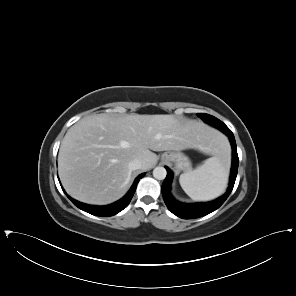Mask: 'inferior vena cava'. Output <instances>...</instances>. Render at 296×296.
Here are the masks:
<instances>
[{
  "label": "inferior vena cava",
  "mask_w": 296,
  "mask_h": 296,
  "mask_svg": "<svg viewBox=\"0 0 296 296\" xmlns=\"http://www.w3.org/2000/svg\"><path fill=\"white\" fill-rule=\"evenodd\" d=\"M142 168V161L140 159H134L129 163V169L131 171L141 169Z\"/></svg>",
  "instance_id": "1"
}]
</instances>
